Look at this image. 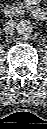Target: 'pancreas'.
<instances>
[{"label": "pancreas", "instance_id": "1", "mask_svg": "<svg viewBox=\"0 0 47 129\" xmlns=\"http://www.w3.org/2000/svg\"><path fill=\"white\" fill-rule=\"evenodd\" d=\"M33 0H25L24 2H18L17 6L19 8H28Z\"/></svg>", "mask_w": 47, "mask_h": 129}]
</instances>
